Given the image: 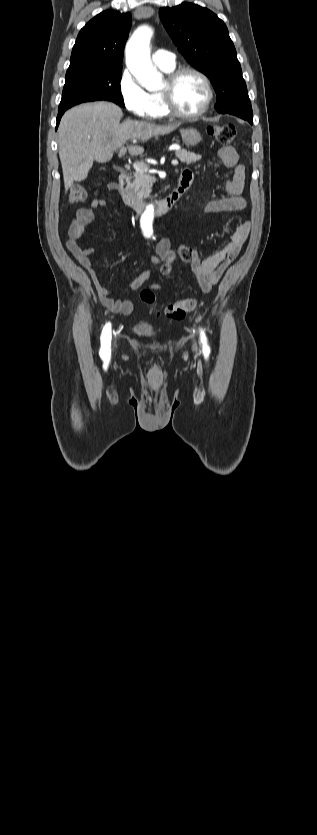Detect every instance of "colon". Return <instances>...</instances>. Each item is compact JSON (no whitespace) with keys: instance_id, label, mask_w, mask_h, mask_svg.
<instances>
[{"instance_id":"5ec220e1","label":"colon","mask_w":317,"mask_h":835,"mask_svg":"<svg viewBox=\"0 0 317 835\" xmlns=\"http://www.w3.org/2000/svg\"><path fill=\"white\" fill-rule=\"evenodd\" d=\"M209 134L215 138L217 142L222 145H229L233 142L236 129L233 125L230 124H217L212 125L208 129ZM87 192L86 189L82 185H74L71 187L68 201L70 204H78L82 202L86 198ZM197 250L193 247L189 246H182L177 255L182 260H189L197 255ZM163 274H167L170 272V265L165 263L162 266ZM140 299L143 303L148 305H153L156 302V296L154 292L150 289H143L140 292ZM196 306V301L194 299L188 298L177 301L173 304L166 306L164 312L165 315L174 320H181L185 317V315L193 310Z\"/></svg>"}]
</instances>
